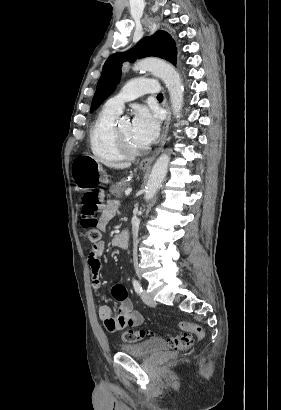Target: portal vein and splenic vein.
Wrapping results in <instances>:
<instances>
[{"mask_svg": "<svg viewBox=\"0 0 281 410\" xmlns=\"http://www.w3.org/2000/svg\"><path fill=\"white\" fill-rule=\"evenodd\" d=\"M132 192V188H127L125 190V195L128 196Z\"/></svg>", "mask_w": 281, "mask_h": 410, "instance_id": "obj_1", "label": "portal vein and splenic vein"}]
</instances>
